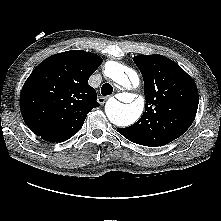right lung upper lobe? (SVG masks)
<instances>
[{
    "label": "right lung upper lobe",
    "instance_id": "obj_1",
    "mask_svg": "<svg viewBox=\"0 0 221 221\" xmlns=\"http://www.w3.org/2000/svg\"><path fill=\"white\" fill-rule=\"evenodd\" d=\"M102 59L83 50L48 57L26 80L20 109L27 126L42 139L64 142L82 127L87 114L98 107L89 77Z\"/></svg>",
    "mask_w": 221,
    "mask_h": 221
}]
</instances>
